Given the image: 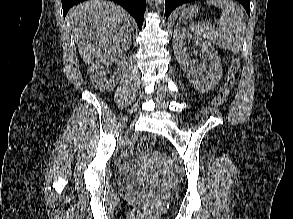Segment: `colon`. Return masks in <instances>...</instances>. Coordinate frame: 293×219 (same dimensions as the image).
I'll return each mask as SVG.
<instances>
[{
  "label": "colon",
  "instance_id": "colon-1",
  "mask_svg": "<svg viewBox=\"0 0 293 219\" xmlns=\"http://www.w3.org/2000/svg\"><path fill=\"white\" fill-rule=\"evenodd\" d=\"M240 69V60L236 57H233L231 60V66L228 70L227 80L224 86L218 91L217 95L213 100V104L217 107L221 106L231 91L234 82L235 76ZM155 145V137L152 135H146L139 140L138 149L141 152H147Z\"/></svg>",
  "mask_w": 293,
  "mask_h": 219
}]
</instances>
